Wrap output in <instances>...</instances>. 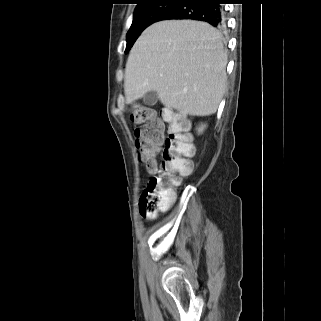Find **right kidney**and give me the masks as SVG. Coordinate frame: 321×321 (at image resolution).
<instances>
[{
	"label": "right kidney",
	"mask_w": 321,
	"mask_h": 321,
	"mask_svg": "<svg viewBox=\"0 0 321 321\" xmlns=\"http://www.w3.org/2000/svg\"><path fill=\"white\" fill-rule=\"evenodd\" d=\"M204 128H205V125H204V126L202 125L200 128H198V132H199V133H202L203 130H204Z\"/></svg>",
	"instance_id": "ca27d5eb"
}]
</instances>
